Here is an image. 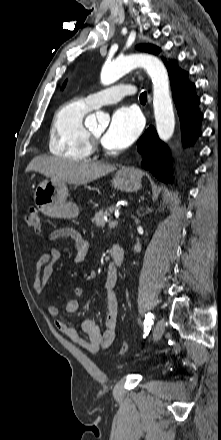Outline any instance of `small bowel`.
<instances>
[{
    "instance_id": "c3829d8e",
    "label": "small bowel",
    "mask_w": 221,
    "mask_h": 440,
    "mask_svg": "<svg viewBox=\"0 0 221 440\" xmlns=\"http://www.w3.org/2000/svg\"><path fill=\"white\" fill-rule=\"evenodd\" d=\"M62 238H69L75 242V257L76 263H82L89 252L90 243L85 239L79 231L71 227L59 228L52 231L49 235L50 241H55ZM60 251L56 247H51L47 252L42 254L37 262V272L35 274L33 287L37 293H41L45 284L53 275L55 266L60 259ZM117 273L110 266L107 270L103 289L106 298V315H105V330L101 332L93 319L87 318L82 322L81 328L86 336L82 337L76 328L71 326L60 317V311L57 306H50L48 308L49 316L54 320L57 329L67 336L73 343L81 346L89 353H96L101 349L108 348L116 337L117 322H118V298L116 294ZM84 290L81 287L74 289V295L79 297ZM79 302L77 299H70L64 305V312L66 314H74L78 311Z\"/></svg>"
}]
</instances>
